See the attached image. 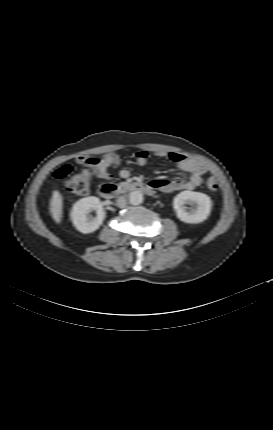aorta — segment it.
Masks as SVG:
<instances>
[{"instance_id":"762f6f07","label":"aorta","mask_w":273,"mask_h":430,"mask_svg":"<svg viewBox=\"0 0 273 430\" xmlns=\"http://www.w3.org/2000/svg\"><path fill=\"white\" fill-rule=\"evenodd\" d=\"M143 200V194L140 191L135 190L129 193V202L132 205H140L143 203Z\"/></svg>"}]
</instances>
